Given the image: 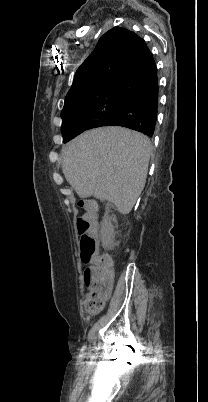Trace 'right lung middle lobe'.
Instances as JSON below:
<instances>
[{"mask_svg":"<svg viewBox=\"0 0 208 402\" xmlns=\"http://www.w3.org/2000/svg\"><path fill=\"white\" fill-rule=\"evenodd\" d=\"M120 97L112 81L66 96L62 123L112 113L118 110Z\"/></svg>","mask_w":208,"mask_h":402,"instance_id":"right-lung-middle-lobe-1","label":"right lung middle lobe"}]
</instances>
